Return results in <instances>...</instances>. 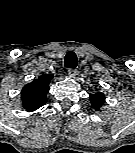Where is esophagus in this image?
Instances as JSON below:
<instances>
[{
	"label": "esophagus",
	"mask_w": 135,
	"mask_h": 153,
	"mask_svg": "<svg viewBox=\"0 0 135 153\" xmlns=\"http://www.w3.org/2000/svg\"><path fill=\"white\" fill-rule=\"evenodd\" d=\"M78 74V71L76 69H69L68 70V75L71 77V78H75Z\"/></svg>",
	"instance_id": "obj_1"
}]
</instances>
